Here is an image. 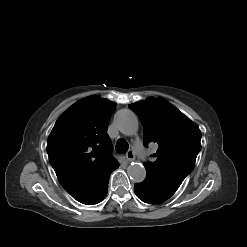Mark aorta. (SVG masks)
<instances>
[{
  "label": "aorta",
  "mask_w": 247,
  "mask_h": 247,
  "mask_svg": "<svg viewBox=\"0 0 247 247\" xmlns=\"http://www.w3.org/2000/svg\"><path fill=\"white\" fill-rule=\"evenodd\" d=\"M115 124L118 130L125 135H133L138 130V119L131 110H121L115 116ZM129 177L135 183H140L146 178V170L141 163H131L127 168Z\"/></svg>",
  "instance_id": "aorta-1"
}]
</instances>
